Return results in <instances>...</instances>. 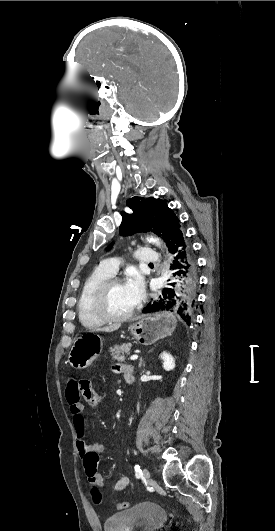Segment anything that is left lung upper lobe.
Returning a JSON list of instances; mask_svg holds the SVG:
<instances>
[{
    "label": "left lung upper lobe",
    "mask_w": 275,
    "mask_h": 531,
    "mask_svg": "<svg viewBox=\"0 0 275 531\" xmlns=\"http://www.w3.org/2000/svg\"><path fill=\"white\" fill-rule=\"evenodd\" d=\"M127 206L132 210V214L121 213L122 235L151 231L167 242L173 228L179 223L174 212L161 199L132 197L127 201Z\"/></svg>",
    "instance_id": "left-lung-upper-lobe-1"
}]
</instances>
